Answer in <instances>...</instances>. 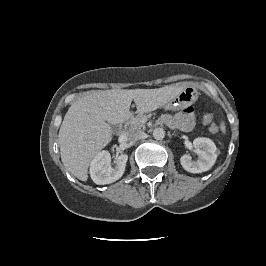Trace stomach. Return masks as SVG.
I'll return each mask as SVG.
<instances>
[{
	"instance_id": "0dacf381",
	"label": "stomach",
	"mask_w": 266,
	"mask_h": 266,
	"mask_svg": "<svg viewBox=\"0 0 266 266\" xmlns=\"http://www.w3.org/2000/svg\"><path fill=\"white\" fill-rule=\"evenodd\" d=\"M197 97L198 93L196 88L191 84H187L166 103L165 107L167 109L178 110L193 104L197 100Z\"/></svg>"
}]
</instances>
